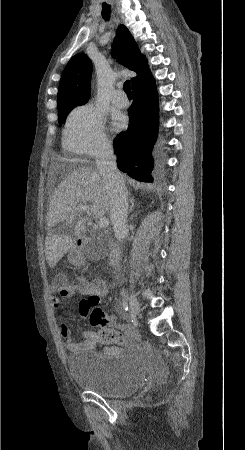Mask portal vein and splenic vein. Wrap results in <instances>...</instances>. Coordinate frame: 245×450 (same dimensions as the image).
I'll return each mask as SVG.
<instances>
[{
	"label": "portal vein and splenic vein",
	"mask_w": 245,
	"mask_h": 450,
	"mask_svg": "<svg viewBox=\"0 0 245 450\" xmlns=\"http://www.w3.org/2000/svg\"><path fill=\"white\" fill-rule=\"evenodd\" d=\"M75 212H79V213L86 212L87 214H90V208L86 205H80L75 209ZM75 212L69 216L70 221L74 220ZM98 225L100 228H106L109 225V221L106 218H101L98 222Z\"/></svg>",
	"instance_id": "obj_1"
}]
</instances>
